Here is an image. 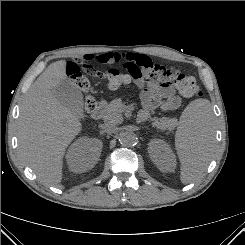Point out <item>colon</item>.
<instances>
[{"label":"colon","instance_id":"1","mask_svg":"<svg viewBox=\"0 0 245 245\" xmlns=\"http://www.w3.org/2000/svg\"><path fill=\"white\" fill-rule=\"evenodd\" d=\"M93 58V55L86 54L69 63L67 66L66 72L68 77L73 85L82 92H88L90 89V82L82 73V70L89 75L105 78L111 89L121 87L129 82L131 77L139 74V69L131 62L124 63L126 73L118 69L98 70L89 63ZM149 80L152 82L167 81L175 86L184 97L190 98L201 95L200 86L193 77L186 76L180 70L162 64L153 65L149 72ZM95 106L96 102L94 98L86 96L84 101L85 111L92 112Z\"/></svg>","mask_w":245,"mask_h":245}]
</instances>
